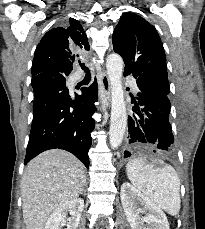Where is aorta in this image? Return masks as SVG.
Segmentation results:
<instances>
[{
	"mask_svg": "<svg viewBox=\"0 0 205 229\" xmlns=\"http://www.w3.org/2000/svg\"><path fill=\"white\" fill-rule=\"evenodd\" d=\"M107 75L111 88V117L109 142L112 149L118 148L127 126V112L122 85L124 62L119 54L112 53L106 61Z\"/></svg>",
	"mask_w": 205,
	"mask_h": 229,
	"instance_id": "aorta-1",
	"label": "aorta"
}]
</instances>
